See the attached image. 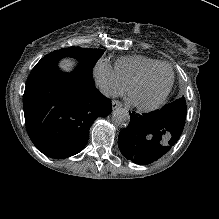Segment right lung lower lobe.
<instances>
[{
	"mask_svg": "<svg viewBox=\"0 0 219 219\" xmlns=\"http://www.w3.org/2000/svg\"><path fill=\"white\" fill-rule=\"evenodd\" d=\"M60 58L39 63L31 71L23 96L26 128L45 155L66 158L80 152L97 117L107 116L111 100L94 86L92 69L79 64L71 74L58 70Z\"/></svg>",
	"mask_w": 219,
	"mask_h": 219,
	"instance_id": "obj_1",
	"label": "right lung lower lobe"
}]
</instances>
